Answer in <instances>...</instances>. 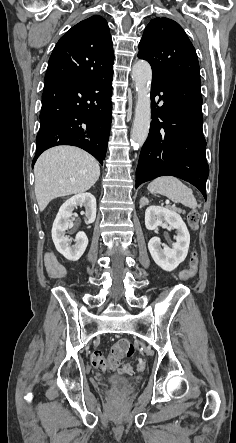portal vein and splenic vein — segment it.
Wrapping results in <instances>:
<instances>
[{
	"mask_svg": "<svg viewBox=\"0 0 236 443\" xmlns=\"http://www.w3.org/2000/svg\"><path fill=\"white\" fill-rule=\"evenodd\" d=\"M166 204L169 205V201H167Z\"/></svg>",
	"mask_w": 236,
	"mask_h": 443,
	"instance_id": "18ae733b",
	"label": "portal vein and splenic vein"
}]
</instances>
